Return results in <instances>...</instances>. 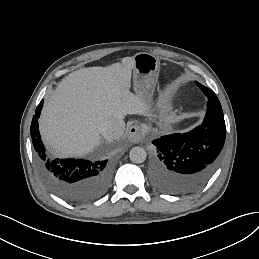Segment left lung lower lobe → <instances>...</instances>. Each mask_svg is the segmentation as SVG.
Masks as SVG:
<instances>
[{
  "instance_id": "obj_1",
  "label": "left lung lower lobe",
  "mask_w": 259,
  "mask_h": 259,
  "mask_svg": "<svg viewBox=\"0 0 259 259\" xmlns=\"http://www.w3.org/2000/svg\"><path fill=\"white\" fill-rule=\"evenodd\" d=\"M208 97L203 123L190 132L155 139L150 167L153 185L162 192L184 194L202 186L218 167L226 137L221 104L215 93L196 82Z\"/></svg>"
}]
</instances>
